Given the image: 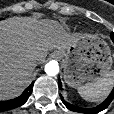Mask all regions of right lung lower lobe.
<instances>
[{"mask_svg": "<svg viewBox=\"0 0 114 114\" xmlns=\"http://www.w3.org/2000/svg\"><path fill=\"white\" fill-rule=\"evenodd\" d=\"M32 84L17 98L8 100V101H0V112L11 110L22 106L29 98L32 93Z\"/></svg>", "mask_w": 114, "mask_h": 114, "instance_id": "98d812e1", "label": "right lung lower lobe"}]
</instances>
